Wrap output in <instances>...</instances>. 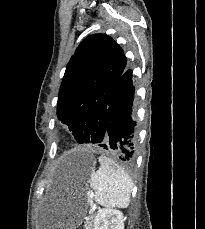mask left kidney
Wrapping results in <instances>:
<instances>
[{
  "mask_svg": "<svg viewBox=\"0 0 205 229\" xmlns=\"http://www.w3.org/2000/svg\"><path fill=\"white\" fill-rule=\"evenodd\" d=\"M94 229H124V216L113 208L99 209L94 219Z\"/></svg>",
  "mask_w": 205,
  "mask_h": 229,
  "instance_id": "obj_1",
  "label": "left kidney"
}]
</instances>
